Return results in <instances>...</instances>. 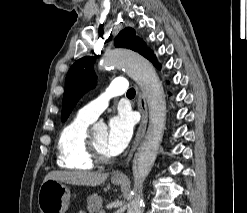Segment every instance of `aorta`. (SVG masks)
<instances>
[{"mask_svg":"<svg viewBox=\"0 0 247 213\" xmlns=\"http://www.w3.org/2000/svg\"><path fill=\"white\" fill-rule=\"evenodd\" d=\"M124 68L140 86L149 107V126L133 160L134 198L128 204L127 213H143V198L140 194L143 182L155 162L162 142L166 122L165 93L153 66L136 52L114 49L106 52L100 61V69ZM105 128L97 123L93 130Z\"/></svg>","mask_w":247,"mask_h":213,"instance_id":"762f6f07","label":"aorta"}]
</instances>
